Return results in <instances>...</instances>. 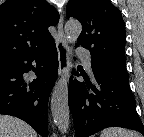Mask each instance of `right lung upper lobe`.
<instances>
[{"label":"right lung upper lobe","mask_w":144,"mask_h":137,"mask_svg":"<svg viewBox=\"0 0 144 137\" xmlns=\"http://www.w3.org/2000/svg\"><path fill=\"white\" fill-rule=\"evenodd\" d=\"M59 14L45 0H6L0 5V70L53 40Z\"/></svg>","instance_id":"obj_1"}]
</instances>
